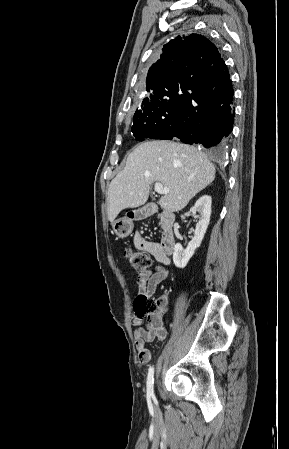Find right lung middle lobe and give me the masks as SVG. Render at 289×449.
<instances>
[{
    "label": "right lung middle lobe",
    "instance_id": "right-lung-middle-lobe-1",
    "mask_svg": "<svg viewBox=\"0 0 289 449\" xmlns=\"http://www.w3.org/2000/svg\"><path fill=\"white\" fill-rule=\"evenodd\" d=\"M178 97L177 89L161 90L145 97L133 117L134 137L143 141L170 126L177 115Z\"/></svg>",
    "mask_w": 289,
    "mask_h": 449
}]
</instances>
